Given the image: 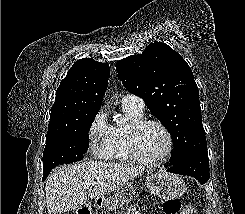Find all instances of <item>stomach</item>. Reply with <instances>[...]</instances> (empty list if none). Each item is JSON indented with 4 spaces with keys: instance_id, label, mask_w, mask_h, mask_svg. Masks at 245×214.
Segmentation results:
<instances>
[{
    "instance_id": "stomach-1",
    "label": "stomach",
    "mask_w": 245,
    "mask_h": 214,
    "mask_svg": "<svg viewBox=\"0 0 245 214\" xmlns=\"http://www.w3.org/2000/svg\"><path fill=\"white\" fill-rule=\"evenodd\" d=\"M146 186L150 192L164 200H173L181 197L186 185L184 181L177 175L158 172L147 177ZM135 194V188L127 183L117 189L114 194L104 201V205L109 210H115L128 204Z\"/></svg>"
}]
</instances>
